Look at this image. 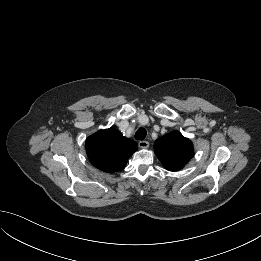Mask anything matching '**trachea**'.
Wrapping results in <instances>:
<instances>
[{
  "mask_svg": "<svg viewBox=\"0 0 261 261\" xmlns=\"http://www.w3.org/2000/svg\"><path fill=\"white\" fill-rule=\"evenodd\" d=\"M146 130L144 128H139L135 133V138L137 140H144L146 137Z\"/></svg>",
  "mask_w": 261,
  "mask_h": 261,
  "instance_id": "trachea-1",
  "label": "trachea"
}]
</instances>
